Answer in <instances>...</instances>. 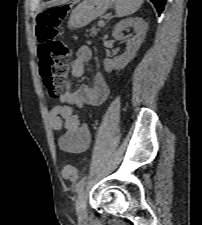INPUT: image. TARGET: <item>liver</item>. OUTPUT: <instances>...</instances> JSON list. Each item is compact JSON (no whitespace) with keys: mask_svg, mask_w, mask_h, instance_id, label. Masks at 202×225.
<instances>
[{"mask_svg":"<svg viewBox=\"0 0 202 225\" xmlns=\"http://www.w3.org/2000/svg\"><path fill=\"white\" fill-rule=\"evenodd\" d=\"M68 0H60L59 3H66Z\"/></svg>","mask_w":202,"mask_h":225,"instance_id":"liver-1","label":"liver"}]
</instances>
